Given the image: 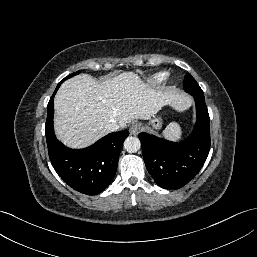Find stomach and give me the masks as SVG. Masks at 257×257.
Masks as SVG:
<instances>
[{"instance_id":"obj_1","label":"stomach","mask_w":257,"mask_h":257,"mask_svg":"<svg viewBox=\"0 0 257 257\" xmlns=\"http://www.w3.org/2000/svg\"><path fill=\"white\" fill-rule=\"evenodd\" d=\"M151 123H152V126H153L155 129H160L161 126H162V120H161V118H154Z\"/></svg>"}]
</instances>
